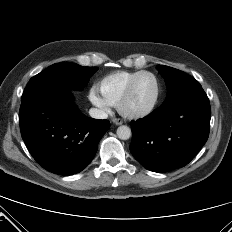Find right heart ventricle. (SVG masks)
<instances>
[{"label":"right heart ventricle","instance_id":"right-heart-ventricle-1","mask_svg":"<svg viewBox=\"0 0 232 232\" xmlns=\"http://www.w3.org/2000/svg\"><path fill=\"white\" fill-rule=\"evenodd\" d=\"M139 72L116 71L101 78L98 90L104 100L111 106H117L129 83Z\"/></svg>","mask_w":232,"mask_h":232}]
</instances>
